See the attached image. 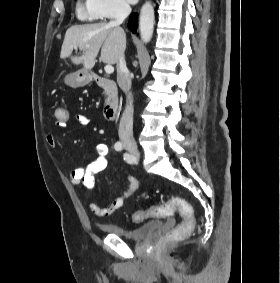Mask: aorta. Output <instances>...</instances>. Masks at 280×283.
<instances>
[{"mask_svg":"<svg viewBox=\"0 0 280 283\" xmlns=\"http://www.w3.org/2000/svg\"><path fill=\"white\" fill-rule=\"evenodd\" d=\"M154 23V6L148 1L142 6L139 17L140 35L143 43L150 42L153 35Z\"/></svg>","mask_w":280,"mask_h":283,"instance_id":"762f6f07","label":"aorta"}]
</instances>
